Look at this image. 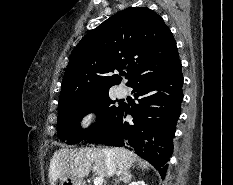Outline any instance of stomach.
I'll return each mask as SVG.
<instances>
[{"label":"stomach","instance_id":"1","mask_svg":"<svg viewBox=\"0 0 233 185\" xmlns=\"http://www.w3.org/2000/svg\"><path fill=\"white\" fill-rule=\"evenodd\" d=\"M60 185H84L81 179L72 176H63L60 179Z\"/></svg>","mask_w":233,"mask_h":185}]
</instances>
